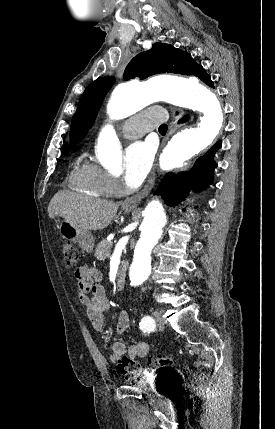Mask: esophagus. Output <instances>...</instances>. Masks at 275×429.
<instances>
[{
  "mask_svg": "<svg viewBox=\"0 0 275 429\" xmlns=\"http://www.w3.org/2000/svg\"><path fill=\"white\" fill-rule=\"evenodd\" d=\"M178 117H173L166 138L164 139L162 146L165 144L167 139L176 131L178 125H177ZM154 176H155V170L152 172V175L149 177L147 184L144 186V188L138 192L137 194L127 198L123 202V206L134 208L137 207V205L140 203L141 199L144 198L152 189L154 184Z\"/></svg>",
  "mask_w": 275,
  "mask_h": 429,
  "instance_id": "esophagus-1",
  "label": "esophagus"
}]
</instances>
